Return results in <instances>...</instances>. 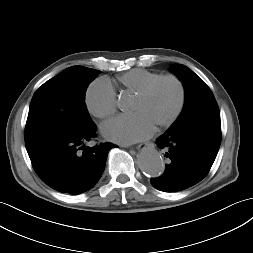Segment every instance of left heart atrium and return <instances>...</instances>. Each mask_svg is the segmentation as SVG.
I'll use <instances>...</instances> for the list:
<instances>
[{
	"instance_id": "1",
	"label": "left heart atrium",
	"mask_w": 253,
	"mask_h": 253,
	"mask_svg": "<svg viewBox=\"0 0 253 253\" xmlns=\"http://www.w3.org/2000/svg\"><path fill=\"white\" fill-rule=\"evenodd\" d=\"M154 130L155 124L142 112L115 117L101 126V132L106 138L123 144L148 138Z\"/></svg>"
}]
</instances>
